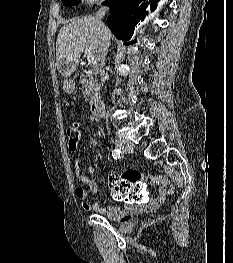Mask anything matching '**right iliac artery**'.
Returning a JSON list of instances; mask_svg holds the SVG:
<instances>
[{"instance_id": "right-iliac-artery-1", "label": "right iliac artery", "mask_w": 233, "mask_h": 263, "mask_svg": "<svg viewBox=\"0 0 233 263\" xmlns=\"http://www.w3.org/2000/svg\"><path fill=\"white\" fill-rule=\"evenodd\" d=\"M112 157L114 159H119L121 157V151L119 149H115L112 151Z\"/></svg>"}]
</instances>
